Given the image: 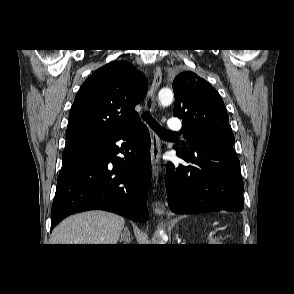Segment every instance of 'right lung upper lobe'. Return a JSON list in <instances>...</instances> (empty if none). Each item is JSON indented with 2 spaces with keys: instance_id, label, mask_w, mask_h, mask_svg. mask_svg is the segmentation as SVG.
Segmentation results:
<instances>
[{
  "instance_id": "cb5924a9",
  "label": "right lung upper lobe",
  "mask_w": 294,
  "mask_h": 294,
  "mask_svg": "<svg viewBox=\"0 0 294 294\" xmlns=\"http://www.w3.org/2000/svg\"><path fill=\"white\" fill-rule=\"evenodd\" d=\"M147 92L146 77L132 64L116 61L96 70L79 89L68 121V142L121 130L138 117L134 107Z\"/></svg>"
}]
</instances>
